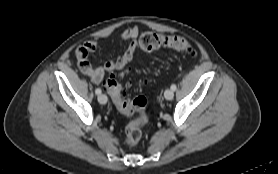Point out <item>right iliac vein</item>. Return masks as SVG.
Here are the masks:
<instances>
[{"instance_id":"obj_1","label":"right iliac vein","mask_w":278,"mask_h":174,"mask_svg":"<svg viewBox=\"0 0 278 174\" xmlns=\"http://www.w3.org/2000/svg\"><path fill=\"white\" fill-rule=\"evenodd\" d=\"M98 101L101 104H106L107 103V96L104 94H101L98 96Z\"/></svg>"}]
</instances>
